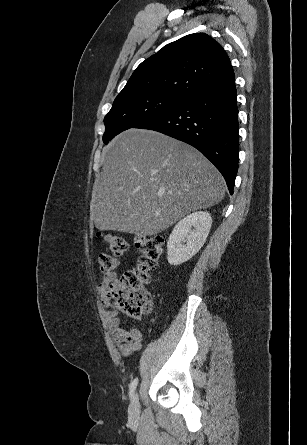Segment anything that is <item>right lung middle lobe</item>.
Masks as SVG:
<instances>
[{"label": "right lung middle lobe", "instance_id": "obj_1", "mask_svg": "<svg viewBox=\"0 0 307 445\" xmlns=\"http://www.w3.org/2000/svg\"><path fill=\"white\" fill-rule=\"evenodd\" d=\"M185 97L162 94L118 95L105 116L103 141L129 128L162 115L176 107Z\"/></svg>", "mask_w": 307, "mask_h": 445}]
</instances>
